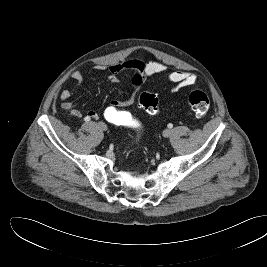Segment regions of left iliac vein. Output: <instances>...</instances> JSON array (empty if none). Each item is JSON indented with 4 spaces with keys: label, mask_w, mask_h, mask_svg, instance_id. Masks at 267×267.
<instances>
[{
    "label": "left iliac vein",
    "mask_w": 267,
    "mask_h": 267,
    "mask_svg": "<svg viewBox=\"0 0 267 267\" xmlns=\"http://www.w3.org/2000/svg\"><path fill=\"white\" fill-rule=\"evenodd\" d=\"M171 134H172V130H171V129H165V130L163 131V136H164V137H170Z\"/></svg>",
    "instance_id": "obj_1"
}]
</instances>
